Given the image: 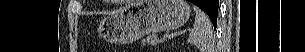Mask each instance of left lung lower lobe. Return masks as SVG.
Segmentation results:
<instances>
[{"mask_svg":"<svg viewBox=\"0 0 305 52\" xmlns=\"http://www.w3.org/2000/svg\"><path fill=\"white\" fill-rule=\"evenodd\" d=\"M193 4L199 6L201 9H203L206 12V9L210 10H218V0H189ZM207 13V12H206ZM214 28L217 26V22L213 23Z\"/></svg>","mask_w":305,"mask_h":52,"instance_id":"left-lung-lower-lobe-1","label":"left lung lower lobe"}]
</instances>
